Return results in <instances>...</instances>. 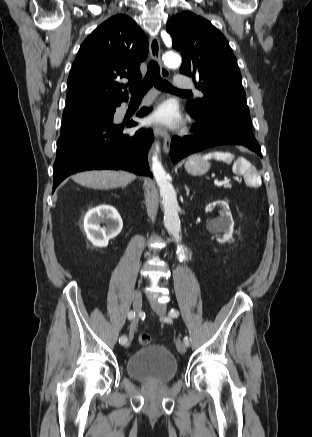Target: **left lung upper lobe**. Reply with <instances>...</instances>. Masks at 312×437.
Returning a JSON list of instances; mask_svg holds the SVG:
<instances>
[{"mask_svg":"<svg viewBox=\"0 0 312 437\" xmlns=\"http://www.w3.org/2000/svg\"><path fill=\"white\" fill-rule=\"evenodd\" d=\"M167 32L180 51V73L192 76L203 98L188 100L189 113L230 125L241 136L255 139L236 57L223 34L208 20L189 11L172 16Z\"/></svg>","mask_w":312,"mask_h":437,"instance_id":"left-lung-upper-lobe-1","label":"left lung upper lobe"}]
</instances>
